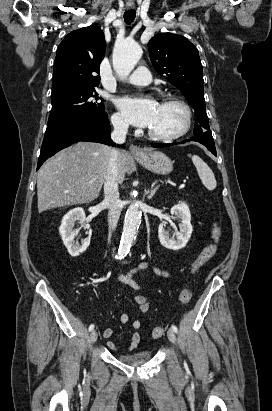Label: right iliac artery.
I'll use <instances>...</instances> for the list:
<instances>
[{
	"instance_id": "1",
	"label": "right iliac artery",
	"mask_w": 272,
	"mask_h": 411,
	"mask_svg": "<svg viewBox=\"0 0 272 411\" xmlns=\"http://www.w3.org/2000/svg\"><path fill=\"white\" fill-rule=\"evenodd\" d=\"M94 329V324H91L90 326H89V331H92Z\"/></svg>"
}]
</instances>
